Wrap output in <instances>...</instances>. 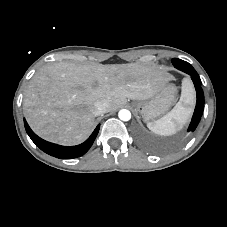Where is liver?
<instances>
[{
    "mask_svg": "<svg viewBox=\"0 0 227 227\" xmlns=\"http://www.w3.org/2000/svg\"><path fill=\"white\" fill-rule=\"evenodd\" d=\"M154 65L81 66L58 62L42 67L32 78L23 100L32 130L62 145L82 143L94 127V103L106 99L108 111L132 100H147L172 80Z\"/></svg>",
    "mask_w": 227,
    "mask_h": 227,
    "instance_id": "1",
    "label": "liver"
}]
</instances>
